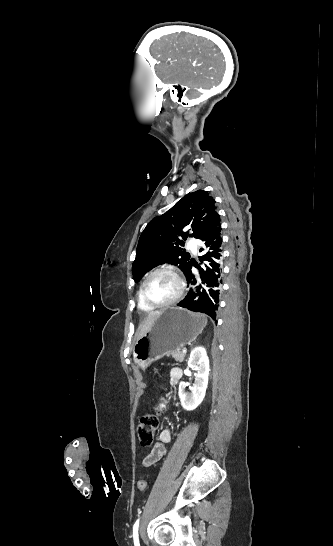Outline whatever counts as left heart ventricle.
<instances>
[{
    "label": "left heart ventricle",
    "mask_w": 333,
    "mask_h": 546,
    "mask_svg": "<svg viewBox=\"0 0 333 546\" xmlns=\"http://www.w3.org/2000/svg\"><path fill=\"white\" fill-rule=\"evenodd\" d=\"M178 289V282L171 273L160 272L149 280L146 293L152 301L163 303L172 299L177 294Z\"/></svg>",
    "instance_id": "obj_1"
}]
</instances>
